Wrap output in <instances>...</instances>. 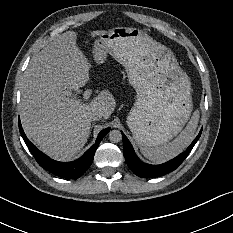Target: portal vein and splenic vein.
Masks as SVG:
<instances>
[{"instance_id":"18ae733b","label":"portal vein and splenic vein","mask_w":233,"mask_h":233,"mask_svg":"<svg viewBox=\"0 0 233 233\" xmlns=\"http://www.w3.org/2000/svg\"><path fill=\"white\" fill-rule=\"evenodd\" d=\"M63 93L67 97H70V98H73V99H78L77 96L75 94H73L71 91L65 90ZM91 94H92V91L90 89L85 90L83 92V94H82L83 95V97H82L83 101H87L90 98ZM78 100L82 102L81 99H78Z\"/></svg>"}]
</instances>
